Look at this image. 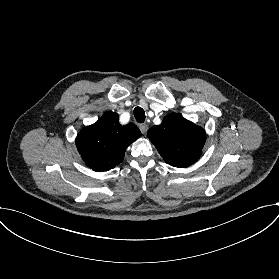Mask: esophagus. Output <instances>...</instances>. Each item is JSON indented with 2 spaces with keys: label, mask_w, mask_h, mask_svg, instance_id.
<instances>
[{
  "label": "esophagus",
  "mask_w": 279,
  "mask_h": 279,
  "mask_svg": "<svg viewBox=\"0 0 279 279\" xmlns=\"http://www.w3.org/2000/svg\"><path fill=\"white\" fill-rule=\"evenodd\" d=\"M139 129H140L141 133L144 135V134H146V132L148 130V125L146 123L140 124Z\"/></svg>",
  "instance_id": "1"
}]
</instances>
